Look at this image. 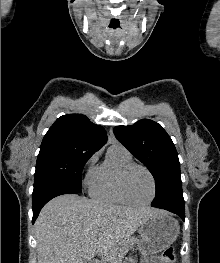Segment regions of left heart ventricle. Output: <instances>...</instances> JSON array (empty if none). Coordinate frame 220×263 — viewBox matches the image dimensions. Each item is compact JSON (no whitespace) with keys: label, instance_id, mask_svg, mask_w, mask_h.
<instances>
[{"label":"left heart ventricle","instance_id":"obj_1","mask_svg":"<svg viewBox=\"0 0 220 263\" xmlns=\"http://www.w3.org/2000/svg\"><path fill=\"white\" fill-rule=\"evenodd\" d=\"M126 189L132 200L144 202L151 197L152 182L144 170L136 168L127 177Z\"/></svg>","mask_w":220,"mask_h":263}]
</instances>
